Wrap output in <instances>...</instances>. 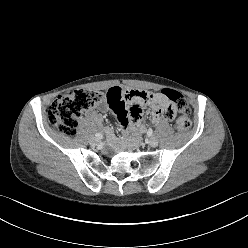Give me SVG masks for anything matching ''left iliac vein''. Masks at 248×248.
Wrapping results in <instances>:
<instances>
[{
	"instance_id": "4c4485c4",
	"label": "left iliac vein",
	"mask_w": 248,
	"mask_h": 248,
	"mask_svg": "<svg viewBox=\"0 0 248 248\" xmlns=\"http://www.w3.org/2000/svg\"><path fill=\"white\" fill-rule=\"evenodd\" d=\"M148 144L151 146V147H156L158 145V140L156 137H151L148 141Z\"/></svg>"
}]
</instances>
